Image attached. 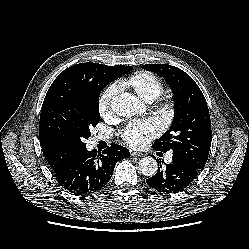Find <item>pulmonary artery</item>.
I'll return each instance as SVG.
<instances>
[{
    "label": "pulmonary artery",
    "instance_id": "obj_1",
    "mask_svg": "<svg viewBox=\"0 0 249 249\" xmlns=\"http://www.w3.org/2000/svg\"><path fill=\"white\" fill-rule=\"evenodd\" d=\"M165 161H166L167 163H171V161H172V154H171V153H169V154L166 156Z\"/></svg>",
    "mask_w": 249,
    "mask_h": 249
}]
</instances>
